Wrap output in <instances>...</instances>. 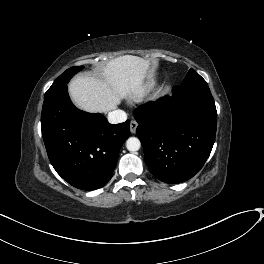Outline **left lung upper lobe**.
Returning a JSON list of instances; mask_svg holds the SVG:
<instances>
[{
  "label": "left lung upper lobe",
  "mask_w": 264,
  "mask_h": 264,
  "mask_svg": "<svg viewBox=\"0 0 264 264\" xmlns=\"http://www.w3.org/2000/svg\"><path fill=\"white\" fill-rule=\"evenodd\" d=\"M206 82L197 72H195L192 68L188 71L184 81L185 83H203Z\"/></svg>",
  "instance_id": "left-lung-upper-lobe-1"
}]
</instances>
